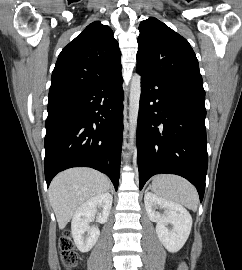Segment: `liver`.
<instances>
[{
	"mask_svg": "<svg viewBox=\"0 0 242 270\" xmlns=\"http://www.w3.org/2000/svg\"><path fill=\"white\" fill-rule=\"evenodd\" d=\"M109 188L108 177L90 168H72L59 173L49 188V200L59 228L66 227L85 201L106 193Z\"/></svg>",
	"mask_w": 242,
	"mask_h": 270,
	"instance_id": "1",
	"label": "liver"
}]
</instances>
